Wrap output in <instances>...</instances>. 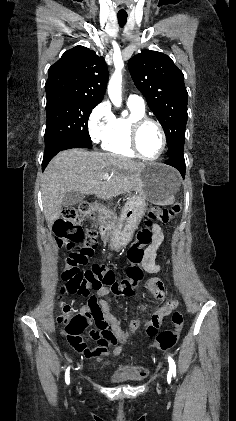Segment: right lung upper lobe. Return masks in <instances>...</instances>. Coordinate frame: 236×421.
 <instances>
[{
  "mask_svg": "<svg viewBox=\"0 0 236 421\" xmlns=\"http://www.w3.org/2000/svg\"><path fill=\"white\" fill-rule=\"evenodd\" d=\"M108 82L102 56L83 46L66 51L48 71L46 94L64 93L101 102Z\"/></svg>",
  "mask_w": 236,
  "mask_h": 421,
  "instance_id": "obj_1",
  "label": "right lung upper lobe"
}]
</instances>
